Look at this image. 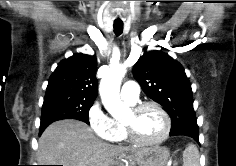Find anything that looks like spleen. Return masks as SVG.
Returning a JSON list of instances; mask_svg holds the SVG:
<instances>
[{
	"instance_id": "spleen-1",
	"label": "spleen",
	"mask_w": 236,
	"mask_h": 166,
	"mask_svg": "<svg viewBox=\"0 0 236 166\" xmlns=\"http://www.w3.org/2000/svg\"><path fill=\"white\" fill-rule=\"evenodd\" d=\"M183 166H200L199 151L194 144H189L184 150Z\"/></svg>"
}]
</instances>
